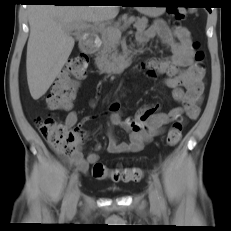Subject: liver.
I'll return each instance as SVG.
<instances>
[{
  "label": "liver",
  "mask_w": 231,
  "mask_h": 231,
  "mask_svg": "<svg viewBox=\"0 0 231 231\" xmlns=\"http://www.w3.org/2000/svg\"><path fill=\"white\" fill-rule=\"evenodd\" d=\"M30 36L27 44V82L34 100L42 97L67 62L75 41L68 28L86 22L114 19L118 6H56L28 7Z\"/></svg>",
  "instance_id": "liver-1"
}]
</instances>
